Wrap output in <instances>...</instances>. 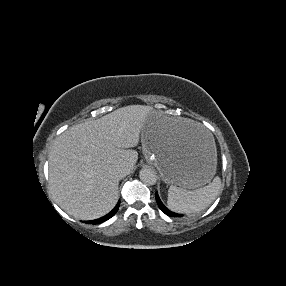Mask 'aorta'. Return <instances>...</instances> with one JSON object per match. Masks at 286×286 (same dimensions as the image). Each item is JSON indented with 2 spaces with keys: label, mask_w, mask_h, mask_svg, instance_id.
<instances>
[{
  "label": "aorta",
  "mask_w": 286,
  "mask_h": 286,
  "mask_svg": "<svg viewBox=\"0 0 286 286\" xmlns=\"http://www.w3.org/2000/svg\"><path fill=\"white\" fill-rule=\"evenodd\" d=\"M140 180L146 185H154L157 182V175L150 168H143L139 172Z\"/></svg>",
  "instance_id": "762f6f07"
}]
</instances>
